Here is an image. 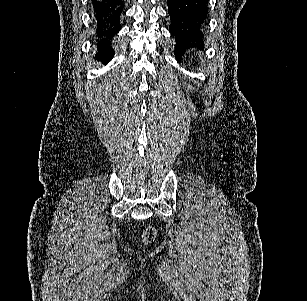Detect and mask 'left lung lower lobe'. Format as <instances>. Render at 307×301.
Segmentation results:
<instances>
[{"label":"left lung lower lobe","instance_id":"obj_1","mask_svg":"<svg viewBox=\"0 0 307 301\" xmlns=\"http://www.w3.org/2000/svg\"><path fill=\"white\" fill-rule=\"evenodd\" d=\"M171 18L170 32L177 43L175 57L184 49L202 47L203 29L208 17V0H167Z\"/></svg>","mask_w":307,"mask_h":301}]
</instances>
